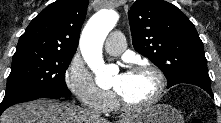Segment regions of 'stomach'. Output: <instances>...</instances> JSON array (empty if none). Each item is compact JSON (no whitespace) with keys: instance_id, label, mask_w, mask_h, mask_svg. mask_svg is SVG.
<instances>
[{"instance_id":"stomach-1","label":"stomach","mask_w":221,"mask_h":123,"mask_svg":"<svg viewBox=\"0 0 221 123\" xmlns=\"http://www.w3.org/2000/svg\"><path fill=\"white\" fill-rule=\"evenodd\" d=\"M130 123H184L179 112L170 105L149 106L133 115Z\"/></svg>"}]
</instances>
